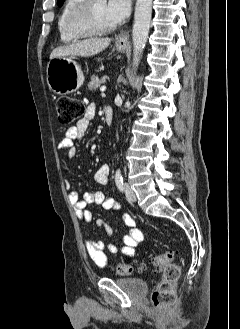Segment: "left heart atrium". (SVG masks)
Segmentation results:
<instances>
[{
	"label": "left heart atrium",
	"instance_id": "39dd6f15",
	"mask_svg": "<svg viewBox=\"0 0 240 329\" xmlns=\"http://www.w3.org/2000/svg\"><path fill=\"white\" fill-rule=\"evenodd\" d=\"M131 0H108L107 14L115 22L124 20L130 13Z\"/></svg>",
	"mask_w": 240,
	"mask_h": 329
}]
</instances>
